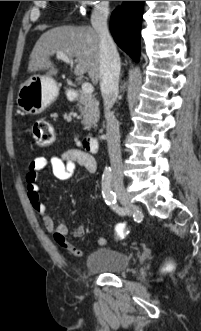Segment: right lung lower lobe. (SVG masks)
I'll return each instance as SVG.
<instances>
[{
  "label": "right lung lower lobe",
  "mask_w": 201,
  "mask_h": 331,
  "mask_svg": "<svg viewBox=\"0 0 201 331\" xmlns=\"http://www.w3.org/2000/svg\"><path fill=\"white\" fill-rule=\"evenodd\" d=\"M144 1H124L115 9L110 30L115 42L136 62L140 56V31Z\"/></svg>",
  "instance_id": "right-lung-lower-lobe-1"
}]
</instances>
